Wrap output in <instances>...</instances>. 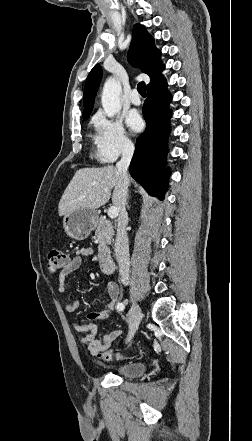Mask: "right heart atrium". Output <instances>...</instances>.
<instances>
[{
  "label": "right heart atrium",
  "mask_w": 252,
  "mask_h": 441,
  "mask_svg": "<svg viewBox=\"0 0 252 441\" xmlns=\"http://www.w3.org/2000/svg\"><path fill=\"white\" fill-rule=\"evenodd\" d=\"M96 156L103 163H112L120 156H130L134 145L120 118L98 113L94 119Z\"/></svg>",
  "instance_id": "1"
}]
</instances>
